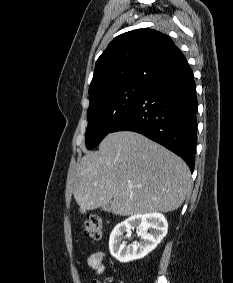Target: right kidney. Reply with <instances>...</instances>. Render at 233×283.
Here are the masks:
<instances>
[{"label":"right kidney","instance_id":"ca27d5eb","mask_svg":"<svg viewBox=\"0 0 233 283\" xmlns=\"http://www.w3.org/2000/svg\"><path fill=\"white\" fill-rule=\"evenodd\" d=\"M136 228L141 236L140 243L127 245L123 234ZM168 222L160 213L137 214L115 226L109 238L111 255L119 262L127 263L145 257L166 236Z\"/></svg>","mask_w":233,"mask_h":283}]
</instances>
